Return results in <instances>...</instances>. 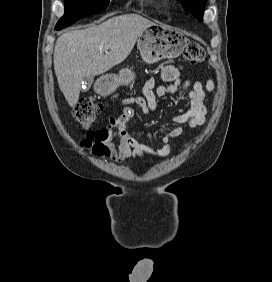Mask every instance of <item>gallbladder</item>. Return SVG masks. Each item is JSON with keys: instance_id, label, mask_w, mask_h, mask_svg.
Segmentation results:
<instances>
[{"instance_id": "1", "label": "gallbladder", "mask_w": 272, "mask_h": 282, "mask_svg": "<svg viewBox=\"0 0 272 282\" xmlns=\"http://www.w3.org/2000/svg\"><path fill=\"white\" fill-rule=\"evenodd\" d=\"M91 84H92V81H87V83L85 84L84 88H82V91L83 92H86L90 89L91 87Z\"/></svg>"}]
</instances>
